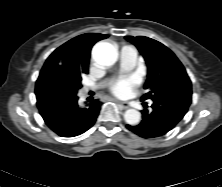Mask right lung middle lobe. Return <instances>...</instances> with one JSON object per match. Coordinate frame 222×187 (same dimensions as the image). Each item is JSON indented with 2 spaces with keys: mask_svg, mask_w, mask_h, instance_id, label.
Masks as SVG:
<instances>
[{
  "mask_svg": "<svg viewBox=\"0 0 222 187\" xmlns=\"http://www.w3.org/2000/svg\"><path fill=\"white\" fill-rule=\"evenodd\" d=\"M59 73L66 79L67 83L74 91H78L81 85V76L87 71L79 70L78 68L71 65H58Z\"/></svg>",
  "mask_w": 222,
  "mask_h": 187,
  "instance_id": "obj_1",
  "label": "right lung middle lobe"
}]
</instances>
